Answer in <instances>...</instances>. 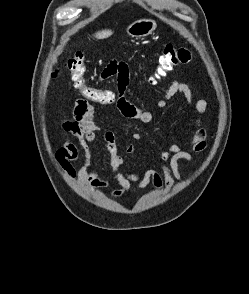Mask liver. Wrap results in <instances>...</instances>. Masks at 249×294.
<instances>
[{"instance_id": "1", "label": "liver", "mask_w": 249, "mask_h": 294, "mask_svg": "<svg viewBox=\"0 0 249 294\" xmlns=\"http://www.w3.org/2000/svg\"><path fill=\"white\" fill-rule=\"evenodd\" d=\"M111 34H112L111 30H103L101 32L96 33L95 37H97V38H105V37H108Z\"/></svg>"}]
</instances>
